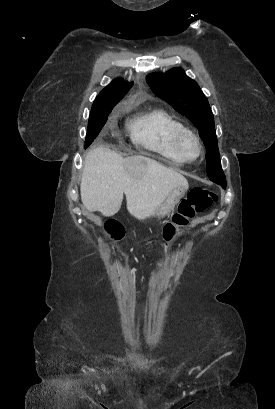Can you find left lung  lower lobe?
I'll list each match as a JSON object with an SVG mask.
<instances>
[{
	"mask_svg": "<svg viewBox=\"0 0 275 409\" xmlns=\"http://www.w3.org/2000/svg\"><path fill=\"white\" fill-rule=\"evenodd\" d=\"M224 189L226 188V186H222Z\"/></svg>",
	"mask_w": 275,
	"mask_h": 409,
	"instance_id": "left-lung-lower-lobe-1",
	"label": "left lung lower lobe"
}]
</instances>
